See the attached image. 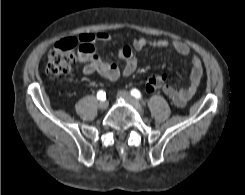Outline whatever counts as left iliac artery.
Wrapping results in <instances>:
<instances>
[{
    "label": "left iliac artery",
    "mask_w": 245,
    "mask_h": 195,
    "mask_svg": "<svg viewBox=\"0 0 245 195\" xmlns=\"http://www.w3.org/2000/svg\"><path fill=\"white\" fill-rule=\"evenodd\" d=\"M131 95L134 96L137 99H141V93L137 89H132L130 91Z\"/></svg>",
    "instance_id": "obj_1"
}]
</instances>
